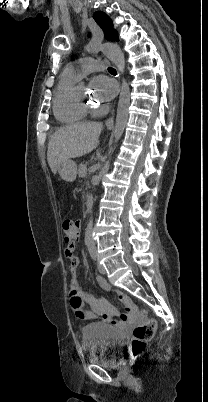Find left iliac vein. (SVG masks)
<instances>
[{
    "instance_id": "4c4485c4",
    "label": "left iliac vein",
    "mask_w": 208,
    "mask_h": 402,
    "mask_svg": "<svg viewBox=\"0 0 208 402\" xmlns=\"http://www.w3.org/2000/svg\"><path fill=\"white\" fill-rule=\"evenodd\" d=\"M97 267H98V271H99L102 275H104V274L106 273V270H105L104 266H103L101 263H98Z\"/></svg>"
}]
</instances>
